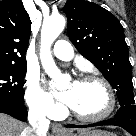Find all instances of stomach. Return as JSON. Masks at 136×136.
I'll list each match as a JSON object with an SVG mask.
<instances>
[{
  "label": "stomach",
  "mask_w": 136,
  "mask_h": 136,
  "mask_svg": "<svg viewBox=\"0 0 136 136\" xmlns=\"http://www.w3.org/2000/svg\"><path fill=\"white\" fill-rule=\"evenodd\" d=\"M57 136H114L113 134L107 132V131H103V130H88L85 132H79L78 135H74L72 133H63V134H59Z\"/></svg>",
  "instance_id": "obj_1"
}]
</instances>
